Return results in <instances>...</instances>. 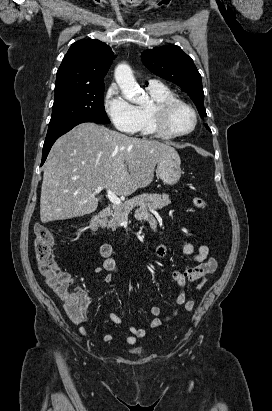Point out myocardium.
I'll list each match as a JSON object with an SVG mask.
<instances>
[{"label":"myocardium","instance_id":"f54148a6","mask_svg":"<svg viewBox=\"0 0 272 411\" xmlns=\"http://www.w3.org/2000/svg\"><path fill=\"white\" fill-rule=\"evenodd\" d=\"M177 107L186 108L192 114L193 118L190 128L181 132L173 131L169 127L170 115ZM150 117L155 133L165 139H175L187 136L195 130L198 123V114L193 106L179 98H170L153 103L150 108Z\"/></svg>","mask_w":272,"mask_h":411}]
</instances>
